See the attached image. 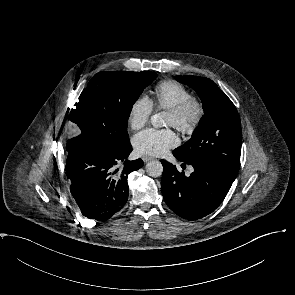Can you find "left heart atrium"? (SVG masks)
Returning <instances> with one entry per match:
<instances>
[{
    "label": "left heart atrium",
    "instance_id": "obj_1",
    "mask_svg": "<svg viewBox=\"0 0 295 295\" xmlns=\"http://www.w3.org/2000/svg\"><path fill=\"white\" fill-rule=\"evenodd\" d=\"M134 149L142 155L160 156L178 144L173 130L148 128L136 134L132 140Z\"/></svg>",
    "mask_w": 295,
    "mask_h": 295
}]
</instances>
